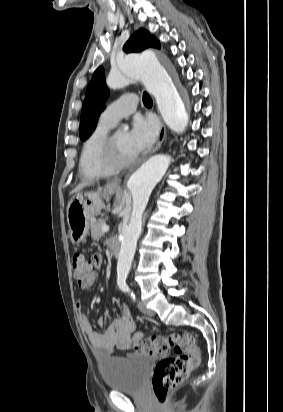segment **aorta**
<instances>
[{
    "mask_svg": "<svg viewBox=\"0 0 283 412\" xmlns=\"http://www.w3.org/2000/svg\"><path fill=\"white\" fill-rule=\"evenodd\" d=\"M141 81L155 97L164 122L177 133L185 130L188 114L183 99L170 76L165 64L153 51L128 55L118 65L117 71L111 72L106 83L110 88H121ZM171 157L158 154L133 171L127 179L126 188L132 196V213L129 223L122 229L121 247L117 262V274L126 276L135 255L137 240L142 231V215L149 197L166 173Z\"/></svg>",
    "mask_w": 283,
    "mask_h": 412,
    "instance_id": "1",
    "label": "aorta"
}]
</instances>
